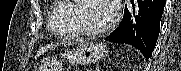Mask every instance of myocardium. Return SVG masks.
Masks as SVG:
<instances>
[{
  "mask_svg": "<svg viewBox=\"0 0 181 71\" xmlns=\"http://www.w3.org/2000/svg\"><path fill=\"white\" fill-rule=\"evenodd\" d=\"M88 1V0H72L71 1V8H72V23L73 26L76 28L78 33L82 36L89 37V38H95L102 36L106 34L108 31H110L113 27V20L108 22L104 27L100 29H90L87 28L81 21L80 18V6L81 2Z\"/></svg>",
  "mask_w": 181,
  "mask_h": 71,
  "instance_id": "1",
  "label": "myocardium"
}]
</instances>
